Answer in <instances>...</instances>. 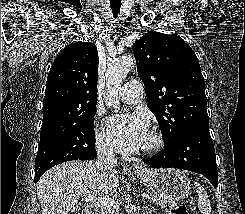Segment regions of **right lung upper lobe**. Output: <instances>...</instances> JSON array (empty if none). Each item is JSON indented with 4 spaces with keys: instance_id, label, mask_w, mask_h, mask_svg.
Listing matches in <instances>:
<instances>
[{
    "instance_id": "cb5924a9",
    "label": "right lung upper lobe",
    "mask_w": 245,
    "mask_h": 214,
    "mask_svg": "<svg viewBox=\"0 0 245 214\" xmlns=\"http://www.w3.org/2000/svg\"><path fill=\"white\" fill-rule=\"evenodd\" d=\"M98 52L91 42H74L54 60L46 82L41 134L56 131L96 109Z\"/></svg>"
}]
</instances>
